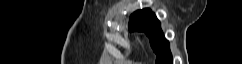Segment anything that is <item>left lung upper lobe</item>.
<instances>
[{"label": "left lung upper lobe", "instance_id": "obj_1", "mask_svg": "<svg viewBox=\"0 0 242 64\" xmlns=\"http://www.w3.org/2000/svg\"><path fill=\"white\" fill-rule=\"evenodd\" d=\"M129 30L145 32L156 53V64H172L169 42L165 39L159 20L148 8L134 12L129 21Z\"/></svg>", "mask_w": 242, "mask_h": 64}]
</instances>
